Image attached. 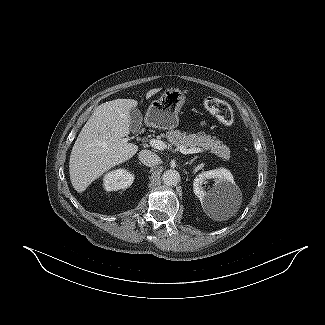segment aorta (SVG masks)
<instances>
[{
    "label": "aorta",
    "mask_w": 325,
    "mask_h": 325,
    "mask_svg": "<svg viewBox=\"0 0 325 325\" xmlns=\"http://www.w3.org/2000/svg\"><path fill=\"white\" fill-rule=\"evenodd\" d=\"M181 177L176 170H166L162 175V180L167 186H175L179 183Z\"/></svg>",
    "instance_id": "obj_1"
}]
</instances>
